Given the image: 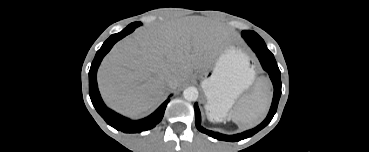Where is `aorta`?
<instances>
[{
  "label": "aorta",
  "mask_w": 369,
  "mask_h": 152,
  "mask_svg": "<svg viewBox=\"0 0 369 152\" xmlns=\"http://www.w3.org/2000/svg\"><path fill=\"white\" fill-rule=\"evenodd\" d=\"M183 97L187 101H196L198 98V90L196 87H188L183 91Z\"/></svg>",
  "instance_id": "762f6f07"
}]
</instances>
